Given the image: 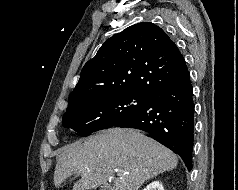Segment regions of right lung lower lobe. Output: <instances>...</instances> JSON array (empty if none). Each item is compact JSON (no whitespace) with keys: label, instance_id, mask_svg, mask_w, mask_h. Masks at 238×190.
Here are the masks:
<instances>
[{"label":"right lung lower lobe","instance_id":"right-lung-lower-lobe-1","mask_svg":"<svg viewBox=\"0 0 238 190\" xmlns=\"http://www.w3.org/2000/svg\"><path fill=\"white\" fill-rule=\"evenodd\" d=\"M194 102L190 74L186 70L176 80L153 94L138 112L114 126L146 131L177 153L192 170Z\"/></svg>","mask_w":238,"mask_h":190}]
</instances>
